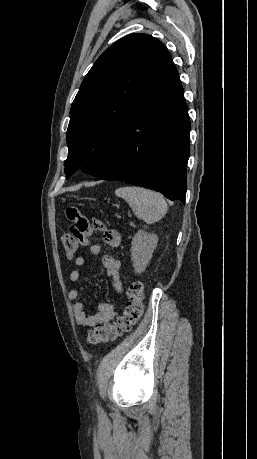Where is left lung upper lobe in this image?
I'll use <instances>...</instances> for the list:
<instances>
[{"instance_id":"obj_1","label":"left lung upper lobe","mask_w":257,"mask_h":459,"mask_svg":"<svg viewBox=\"0 0 257 459\" xmlns=\"http://www.w3.org/2000/svg\"><path fill=\"white\" fill-rule=\"evenodd\" d=\"M170 57L154 37L129 34L106 49L85 76L70 110L67 129L70 167L97 176L109 160L119 125L155 73Z\"/></svg>"}]
</instances>
